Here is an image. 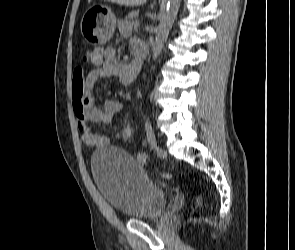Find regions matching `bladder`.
I'll list each match as a JSON object with an SVG mask.
<instances>
[{
    "instance_id": "1",
    "label": "bladder",
    "mask_w": 295,
    "mask_h": 250,
    "mask_svg": "<svg viewBox=\"0 0 295 250\" xmlns=\"http://www.w3.org/2000/svg\"><path fill=\"white\" fill-rule=\"evenodd\" d=\"M91 170L103 198L129 219H156L164 211L168 194L116 147H104L92 154Z\"/></svg>"
}]
</instances>
